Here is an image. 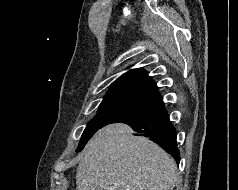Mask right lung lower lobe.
Masks as SVG:
<instances>
[{"label": "right lung lower lobe", "mask_w": 238, "mask_h": 190, "mask_svg": "<svg viewBox=\"0 0 238 190\" xmlns=\"http://www.w3.org/2000/svg\"><path fill=\"white\" fill-rule=\"evenodd\" d=\"M122 123L129 125L136 132L146 134L150 140L170 153L179 164L180 154L176 144L177 133L171 124L163 101L143 114Z\"/></svg>", "instance_id": "98d812e1"}]
</instances>
